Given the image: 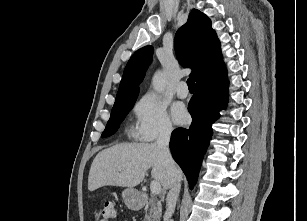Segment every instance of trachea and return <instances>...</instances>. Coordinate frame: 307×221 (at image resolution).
Instances as JSON below:
<instances>
[{"label": "trachea", "mask_w": 307, "mask_h": 221, "mask_svg": "<svg viewBox=\"0 0 307 221\" xmlns=\"http://www.w3.org/2000/svg\"><path fill=\"white\" fill-rule=\"evenodd\" d=\"M187 85H188L189 90H194V88H195V81H194V79L193 78H188Z\"/></svg>", "instance_id": "trachea-1"}]
</instances>
